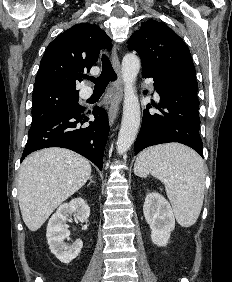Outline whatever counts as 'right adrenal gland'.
Listing matches in <instances>:
<instances>
[{
    "mask_svg": "<svg viewBox=\"0 0 232 282\" xmlns=\"http://www.w3.org/2000/svg\"><path fill=\"white\" fill-rule=\"evenodd\" d=\"M89 183L87 184V187L91 184V183H95L93 180H92V176L89 178Z\"/></svg>",
    "mask_w": 232,
    "mask_h": 282,
    "instance_id": "2a0ac1e0",
    "label": "right adrenal gland"
}]
</instances>
